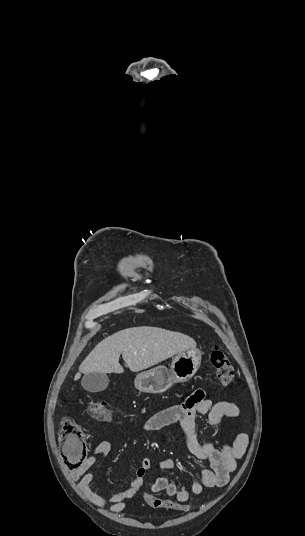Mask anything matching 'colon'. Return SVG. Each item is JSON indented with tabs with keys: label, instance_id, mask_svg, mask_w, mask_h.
<instances>
[{
	"label": "colon",
	"instance_id": "colon-1",
	"mask_svg": "<svg viewBox=\"0 0 305 536\" xmlns=\"http://www.w3.org/2000/svg\"><path fill=\"white\" fill-rule=\"evenodd\" d=\"M210 363L215 369L217 383L220 387H228L233 381V370L226 352L215 345L210 352ZM88 414L95 420H107L111 417L110 408L103 399L92 400L87 408ZM83 430L77 421L71 417L61 419L58 439L61 445V461L64 462L65 471H80L81 462L85 460L87 445L83 439ZM143 501L150 506L151 511H174L180 509L185 512L190 506L180 500L168 497L163 500L152 492H144Z\"/></svg>",
	"mask_w": 305,
	"mask_h": 536
}]
</instances>
